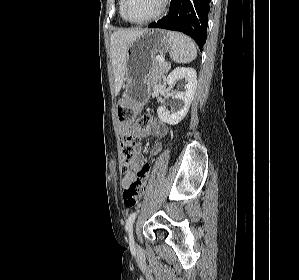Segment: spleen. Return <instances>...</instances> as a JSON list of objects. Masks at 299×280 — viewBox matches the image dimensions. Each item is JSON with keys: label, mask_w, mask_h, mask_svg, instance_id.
Returning <instances> with one entry per match:
<instances>
[{"label": "spleen", "mask_w": 299, "mask_h": 280, "mask_svg": "<svg viewBox=\"0 0 299 280\" xmlns=\"http://www.w3.org/2000/svg\"><path fill=\"white\" fill-rule=\"evenodd\" d=\"M167 36L172 60L178 63H188L196 58L197 49L192 39L173 31H168Z\"/></svg>", "instance_id": "obj_1"}]
</instances>
